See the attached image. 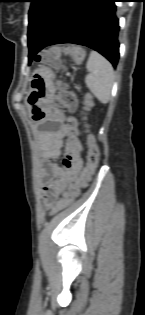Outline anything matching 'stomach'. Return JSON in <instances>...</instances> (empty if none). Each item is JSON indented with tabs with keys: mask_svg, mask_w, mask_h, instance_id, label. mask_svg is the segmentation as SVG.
I'll return each instance as SVG.
<instances>
[{
	"mask_svg": "<svg viewBox=\"0 0 145 315\" xmlns=\"http://www.w3.org/2000/svg\"><path fill=\"white\" fill-rule=\"evenodd\" d=\"M58 78L57 72H33L32 85L26 91V104L28 105L31 122H51V116H58V109H51L45 105L55 91L54 79Z\"/></svg>",
	"mask_w": 145,
	"mask_h": 315,
	"instance_id": "0dacf381",
	"label": "stomach"
}]
</instances>
